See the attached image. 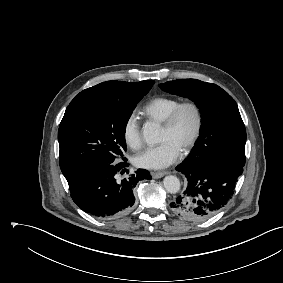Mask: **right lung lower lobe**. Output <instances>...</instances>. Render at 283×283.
I'll return each mask as SVG.
<instances>
[{
  "instance_id": "obj_1",
  "label": "right lung lower lobe",
  "mask_w": 283,
  "mask_h": 283,
  "mask_svg": "<svg viewBox=\"0 0 283 283\" xmlns=\"http://www.w3.org/2000/svg\"><path fill=\"white\" fill-rule=\"evenodd\" d=\"M127 166L125 162L89 164L65 175L73 201L83 211L99 218L127 213L135 203L133 190L138 181L151 179L147 170L138 169L122 181L117 180L118 172L124 173Z\"/></svg>"
}]
</instances>
